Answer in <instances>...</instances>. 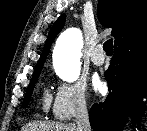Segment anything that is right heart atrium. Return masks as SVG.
Instances as JSON below:
<instances>
[{"instance_id": "right-heart-atrium-1", "label": "right heart atrium", "mask_w": 147, "mask_h": 131, "mask_svg": "<svg viewBox=\"0 0 147 131\" xmlns=\"http://www.w3.org/2000/svg\"><path fill=\"white\" fill-rule=\"evenodd\" d=\"M88 109V93L84 82L60 83L52 103V114L59 121H69Z\"/></svg>"}]
</instances>
